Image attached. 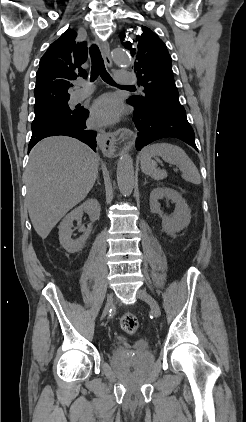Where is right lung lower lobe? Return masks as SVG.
<instances>
[{"label": "right lung lower lobe", "mask_w": 246, "mask_h": 422, "mask_svg": "<svg viewBox=\"0 0 246 422\" xmlns=\"http://www.w3.org/2000/svg\"><path fill=\"white\" fill-rule=\"evenodd\" d=\"M88 116L89 112L81 108L78 109L77 115L71 119L54 120L32 128L33 133L28 145V152L41 139L56 135L77 138L96 151L97 133L88 129L85 125Z\"/></svg>", "instance_id": "1"}]
</instances>
